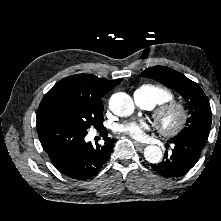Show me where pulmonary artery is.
<instances>
[{"label":"pulmonary artery","mask_w":221,"mask_h":221,"mask_svg":"<svg viewBox=\"0 0 221 221\" xmlns=\"http://www.w3.org/2000/svg\"><path fill=\"white\" fill-rule=\"evenodd\" d=\"M133 97L138 106L145 109H151L153 107L151 96L145 90H136Z\"/></svg>","instance_id":"e3ab8cb5"}]
</instances>
